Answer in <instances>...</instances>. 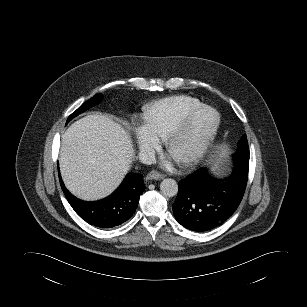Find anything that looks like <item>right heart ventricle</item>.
Returning <instances> with one entry per match:
<instances>
[{"label":"right heart ventricle","instance_id":"e07e8e85","mask_svg":"<svg viewBox=\"0 0 307 307\" xmlns=\"http://www.w3.org/2000/svg\"><path fill=\"white\" fill-rule=\"evenodd\" d=\"M201 102L189 95L166 97L148 104L143 118L144 127L158 141H164L181 118Z\"/></svg>","mask_w":307,"mask_h":307}]
</instances>
